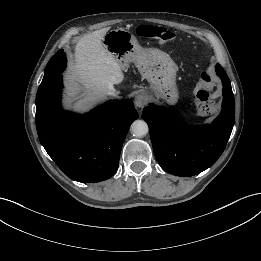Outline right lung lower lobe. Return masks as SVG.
<instances>
[{"mask_svg": "<svg viewBox=\"0 0 261 261\" xmlns=\"http://www.w3.org/2000/svg\"><path fill=\"white\" fill-rule=\"evenodd\" d=\"M62 76L36 97L38 137L49 156L72 180L95 183L118 169L123 142L138 118L131 100H113L85 115L64 111Z\"/></svg>", "mask_w": 261, "mask_h": 261, "instance_id": "98d812e1", "label": "right lung lower lobe"}]
</instances>
